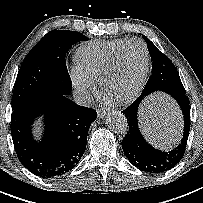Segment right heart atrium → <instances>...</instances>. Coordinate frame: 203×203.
I'll return each instance as SVG.
<instances>
[{
  "instance_id": "d8ad5b80",
  "label": "right heart atrium",
  "mask_w": 203,
  "mask_h": 203,
  "mask_svg": "<svg viewBox=\"0 0 203 203\" xmlns=\"http://www.w3.org/2000/svg\"><path fill=\"white\" fill-rule=\"evenodd\" d=\"M73 86L79 92L83 100H87L95 92L94 80L83 73L77 65L72 66L69 70Z\"/></svg>"
}]
</instances>
